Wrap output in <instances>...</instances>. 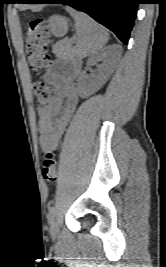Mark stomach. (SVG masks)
I'll return each instance as SVG.
<instances>
[{
	"instance_id": "1",
	"label": "stomach",
	"mask_w": 166,
	"mask_h": 267,
	"mask_svg": "<svg viewBox=\"0 0 166 267\" xmlns=\"http://www.w3.org/2000/svg\"><path fill=\"white\" fill-rule=\"evenodd\" d=\"M49 30L56 37H63L68 31V20L60 15L49 18Z\"/></svg>"
}]
</instances>
